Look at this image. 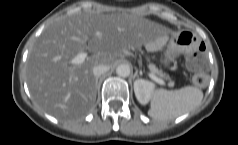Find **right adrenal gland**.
Returning <instances> with one entry per match:
<instances>
[{
    "label": "right adrenal gland",
    "instance_id": "2a0ac1e0",
    "mask_svg": "<svg viewBox=\"0 0 238 145\" xmlns=\"http://www.w3.org/2000/svg\"><path fill=\"white\" fill-rule=\"evenodd\" d=\"M98 79H99V77H96V85H97V83H98Z\"/></svg>",
    "mask_w": 238,
    "mask_h": 145
}]
</instances>
